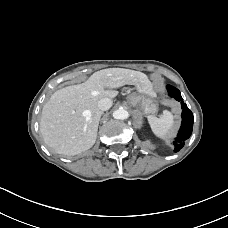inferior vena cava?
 <instances>
[{
  "mask_svg": "<svg viewBox=\"0 0 228 228\" xmlns=\"http://www.w3.org/2000/svg\"><path fill=\"white\" fill-rule=\"evenodd\" d=\"M112 106V100L110 98H102L98 101V108L101 111L109 110Z\"/></svg>",
  "mask_w": 228,
  "mask_h": 228,
  "instance_id": "inferior-vena-cava-1",
  "label": "inferior vena cava"
}]
</instances>
